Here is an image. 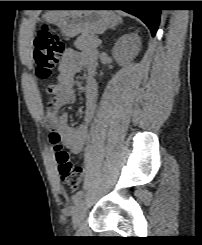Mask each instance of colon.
Instances as JSON below:
<instances>
[{
  "instance_id": "1",
  "label": "colon",
  "mask_w": 202,
  "mask_h": 245,
  "mask_svg": "<svg viewBox=\"0 0 202 245\" xmlns=\"http://www.w3.org/2000/svg\"><path fill=\"white\" fill-rule=\"evenodd\" d=\"M33 59L36 76L40 80L49 79L59 62L63 43L48 26H42L33 41ZM50 140L55 144L56 161L61 180L72 188H77L82 176V168L73 163L71 155L59 145L60 136L56 131L49 134Z\"/></svg>"
}]
</instances>
